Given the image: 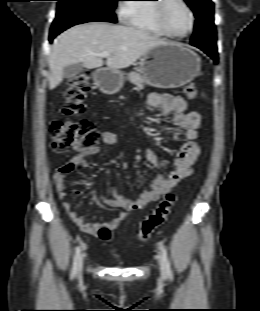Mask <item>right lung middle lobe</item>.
I'll return each instance as SVG.
<instances>
[{"label": "right lung middle lobe", "instance_id": "right-lung-middle-lobe-1", "mask_svg": "<svg viewBox=\"0 0 260 311\" xmlns=\"http://www.w3.org/2000/svg\"><path fill=\"white\" fill-rule=\"evenodd\" d=\"M58 9L53 23L63 21H106L116 23L114 9L119 0H57Z\"/></svg>", "mask_w": 260, "mask_h": 311}]
</instances>
